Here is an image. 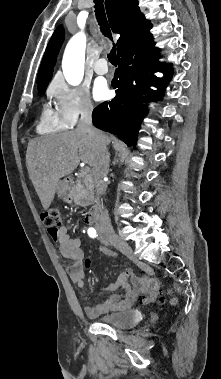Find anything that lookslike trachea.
Listing matches in <instances>:
<instances>
[{
  "mask_svg": "<svg viewBox=\"0 0 221 379\" xmlns=\"http://www.w3.org/2000/svg\"><path fill=\"white\" fill-rule=\"evenodd\" d=\"M95 2V12H96V18L100 25L101 32L104 36L110 38L112 40V34L110 27L108 25L106 14L104 11L103 6V0H94ZM108 60L113 64L116 65V46L113 45V48L111 49L110 53L108 54Z\"/></svg>",
  "mask_w": 221,
  "mask_h": 379,
  "instance_id": "trachea-1",
  "label": "trachea"
}]
</instances>
